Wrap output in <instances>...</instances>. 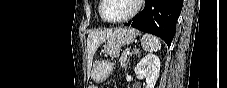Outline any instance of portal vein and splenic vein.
<instances>
[{
  "label": "portal vein and splenic vein",
  "mask_w": 227,
  "mask_h": 88,
  "mask_svg": "<svg viewBox=\"0 0 227 88\" xmlns=\"http://www.w3.org/2000/svg\"><path fill=\"white\" fill-rule=\"evenodd\" d=\"M130 54H131L130 51H126V52H125V55H130Z\"/></svg>",
  "instance_id": "obj_1"
}]
</instances>
